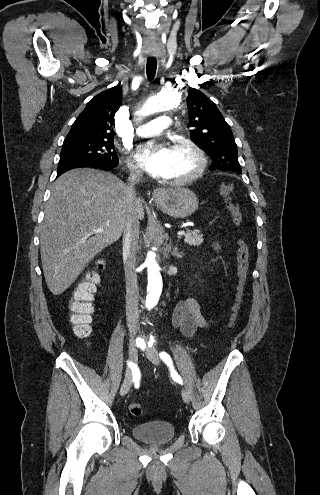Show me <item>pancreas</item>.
I'll use <instances>...</instances> for the list:
<instances>
[{
    "mask_svg": "<svg viewBox=\"0 0 320 495\" xmlns=\"http://www.w3.org/2000/svg\"><path fill=\"white\" fill-rule=\"evenodd\" d=\"M183 236L184 242L189 245L199 246L203 242V236L198 230L187 229L186 233Z\"/></svg>",
    "mask_w": 320,
    "mask_h": 495,
    "instance_id": "cf45deb5",
    "label": "pancreas"
}]
</instances>
